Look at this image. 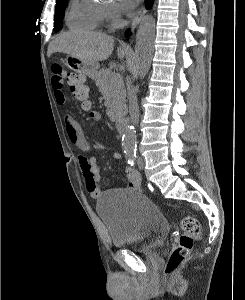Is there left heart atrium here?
Segmentation results:
<instances>
[{"label":"left heart atrium","mask_w":245,"mask_h":300,"mask_svg":"<svg viewBox=\"0 0 245 300\" xmlns=\"http://www.w3.org/2000/svg\"><path fill=\"white\" fill-rule=\"evenodd\" d=\"M120 2L122 4V10L127 12L132 10L139 2V0H120Z\"/></svg>","instance_id":"obj_1"}]
</instances>
